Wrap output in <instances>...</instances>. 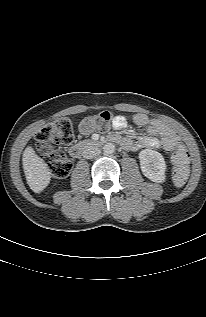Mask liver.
Masks as SVG:
<instances>
[{
	"label": "liver",
	"instance_id": "6515ba94",
	"mask_svg": "<svg viewBox=\"0 0 206 317\" xmlns=\"http://www.w3.org/2000/svg\"><path fill=\"white\" fill-rule=\"evenodd\" d=\"M23 169L27 184L35 193L43 191L51 179V172L47 164L35 153L31 146L23 152Z\"/></svg>",
	"mask_w": 206,
	"mask_h": 317
}]
</instances>
